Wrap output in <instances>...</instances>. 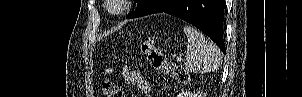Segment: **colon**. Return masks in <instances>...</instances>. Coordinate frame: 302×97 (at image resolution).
<instances>
[{
    "label": "colon",
    "instance_id": "colon-1",
    "mask_svg": "<svg viewBox=\"0 0 302 97\" xmlns=\"http://www.w3.org/2000/svg\"><path fill=\"white\" fill-rule=\"evenodd\" d=\"M140 47L142 53L148 59L152 69L173 77L180 83H187L189 81L188 73L180 66L166 61L163 54L151 41L142 42ZM105 73L111 74L112 68L110 66H106ZM102 90L104 97H114L116 95L117 86L113 81L107 80L103 83Z\"/></svg>",
    "mask_w": 302,
    "mask_h": 97
}]
</instances>
